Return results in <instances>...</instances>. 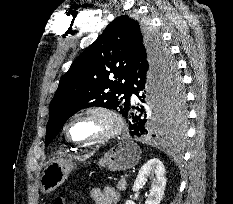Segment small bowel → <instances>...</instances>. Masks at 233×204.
Here are the masks:
<instances>
[{"label":"small bowel","mask_w":233,"mask_h":204,"mask_svg":"<svg viewBox=\"0 0 233 204\" xmlns=\"http://www.w3.org/2000/svg\"><path fill=\"white\" fill-rule=\"evenodd\" d=\"M94 204H118L120 195L112 186H107L103 190L95 188L90 192Z\"/></svg>","instance_id":"obj_1"}]
</instances>
